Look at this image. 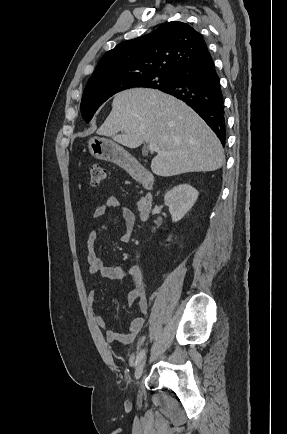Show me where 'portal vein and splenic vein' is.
Listing matches in <instances>:
<instances>
[{"label":"portal vein and splenic vein","instance_id":"18ae733b","mask_svg":"<svg viewBox=\"0 0 287 434\" xmlns=\"http://www.w3.org/2000/svg\"><path fill=\"white\" fill-rule=\"evenodd\" d=\"M148 143V142H147ZM147 148L150 152H159V147L155 143H149Z\"/></svg>","mask_w":287,"mask_h":434}]
</instances>
